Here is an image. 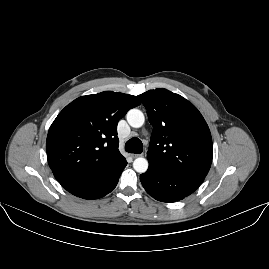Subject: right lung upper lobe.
<instances>
[{"label":"right lung upper lobe","instance_id":"right-lung-upper-lobe-1","mask_svg":"<svg viewBox=\"0 0 269 269\" xmlns=\"http://www.w3.org/2000/svg\"><path fill=\"white\" fill-rule=\"evenodd\" d=\"M138 105L135 96L112 91L82 96L67 105L52 123L46 141L55 178L100 172L120 158L117 124Z\"/></svg>","mask_w":269,"mask_h":269}]
</instances>
